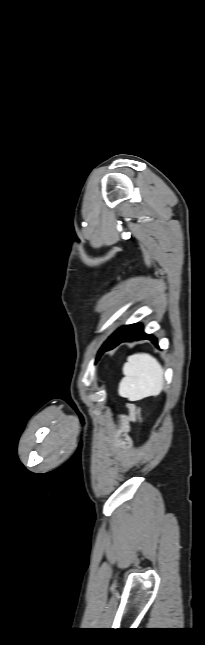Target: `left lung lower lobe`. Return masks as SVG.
Returning a JSON list of instances; mask_svg holds the SVG:
<instances>
[{"label":"left lung lower lobe","instance_id":"obj_1","mask_svg":"<svg viewBox=\"0 0 205 645\" xmlns=\"http://www.w3.org/2000/svg\"><path fill=\"white\" fill-rule=\"evenodd\" d=\"M142 339L151 340L156 346H158V342L155 337L144 333L142 324L136 323L122 326L117 331H115L104 343L102 349L99 352V355H101L104 351L113 349L121 342H131Z\"/></svg>","mask_w":205,"mask_h":645}]
</instances>
